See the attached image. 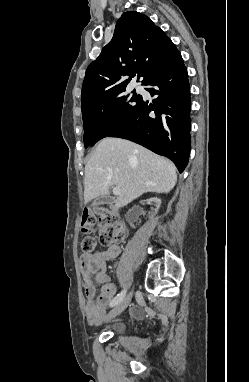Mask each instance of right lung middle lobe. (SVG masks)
I'll return each instance as SVG.
<instances>
[{
    "label": "right lung middle lobe",
    "mask_w": 249,
    "mask_h": 382,
    "mask_svg": "<svg viewBox=\"0 0 249 382\" xmlns=\"http://www.w3.org/2000/svg\"><path fill=\"white\" fill-rule=\"evenodd\" d=\"M142 96L121 95L110 100H97L82 108L84 146H93L100 139L128 123L137 113Z\"/></svg>",
    "instance_id": "right-lung-middle-lobe-1"
}]
</instances>
